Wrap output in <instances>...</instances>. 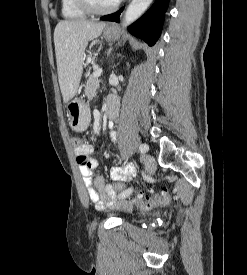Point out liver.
<instances>
[{
	"mask_svg": "<svg viewBox=\"0 0 247 275\" xmlns=\"http://www.w3.org/2000/svg\"><path fill=\"white\" fill-rule=\"evenodd\" d=\"M105 25L104 22L83 19L64 20L56 25L54 30L55 54L64 103H68L77 93L88 42L99 37Z\"/></svg>",
	"mask_w": 247,
	"mask_h": 275,
	"instance_id": "obj_1",
	"label": "liver"
}]
</instances>
